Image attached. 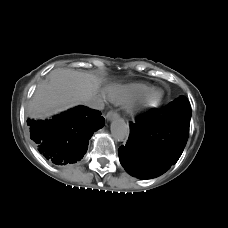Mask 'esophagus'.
Masks as SVG:
<instances>
[{
	"label": "esophagus",
	"instance_id": "34e87169",
	"mask_svg": "<svg viewBox=\"0 0 228 228\" xmlns=\"http://www.w3.org/2000/svg\"><path fill=\"white\" fill-rule=\"evenodd\" d=\"M118 117H119V114H118L116 111H114V110H110V111L106 114V119H107L108 121H111V120L116 119V118H118Z\"/></svg>",
	"mask_w": 228,
	"mask_h": 228
}]
</instances>
